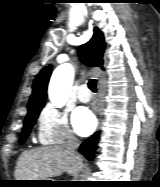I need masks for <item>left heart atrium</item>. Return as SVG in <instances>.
<instances>
[{"label": "left heart atrium", "mask_w": 160, "mask_h": 187, "mask_svg": "<svg viewBox=\"0 0 160 187\" xmlns=\"http://www.w3.org/2000/svg\"><path fill=\"white\" fill-rule=\"evenodd\" d=\"M72 123L76 132L81 136H88L93 132L96 126L94 116L85 107H79L74 111Z\"/></svg>", "instance_id": "obj_1"}]
</instances>
